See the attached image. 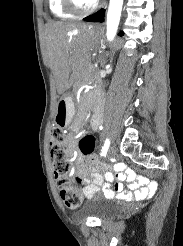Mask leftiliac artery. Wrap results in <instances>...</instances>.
Listing matches in <instances>:
<instances>
[{
	"mask_svg": "<svg viewBox=\"0 0 183 246\" xmlns=\"http://www.w3.org/2000/svg\"><path fill=\"white\" fill-rule=\"evenodd\" d=\"M109 146H110V140L107 138V139L105 140V142H104L103 147H102L100 156L106 155Z\"/></svg>",
	"mask_w": 183,
	"mask_h": 246,
	"instance_id": "obj_1",
	"label": "left iliac artery"
}]
</instances>
